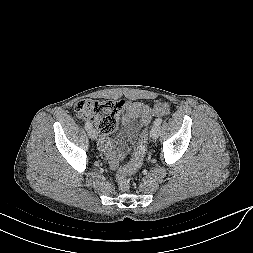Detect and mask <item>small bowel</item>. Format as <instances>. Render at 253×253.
I'll use <instances>...</instances> for the list:
<instances>
[{
	"label": "small bowel",
	"mask_w": 253,
	"mask_h": 253,
	"mask_svg": "<svg viewBox=\"0 0 253 253\" xmlns=\"http://www.w3.org/2000/svg\"><path fill=\"white\" fill-rule=\"evenodd\" d=\"M124 109L130 117L139 119L141 124H148L152 116H163L169 113L167 103H157L150 106L141 101H132L124 103ZM100 146L108 158L110 167L113 169L117 168L126 156L125 150L117 148L108 135L101 136Z\"/></svg>",
	"instance_id": "small-bowel-1"
}]
</instances>
